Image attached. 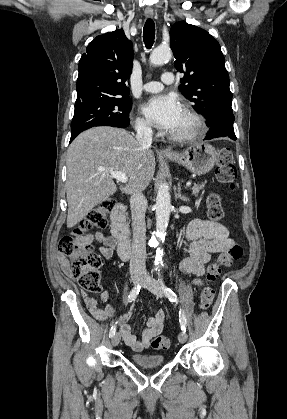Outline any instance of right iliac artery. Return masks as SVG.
<instances>
[{"label": "right iliac artery", "instance_id": "right-iliac-artery-1", "mask_svg": "<svg viewBox=\"0 0 287 419\" xmlns=\"http://www.w3.org/2000/svg\"><path fill=\"white\" fill-rule=\"evenodd\" d=\"M141 289L140 284L136 285L130 292L129 296H128V302H132L133 300H135V298L137 297V295L139 294ZM116 332V325L112 326L109 332V336L113 337V335H115Z\"/></svg>", "mask_w": 287, "mask_h": 419}]
</instances>
